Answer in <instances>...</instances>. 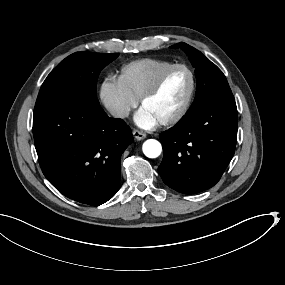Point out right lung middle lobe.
<instances>
[{"mask_svg": "<svg viewBox=\"0 0 285 285\" xmlns=\"http://www.w3.org/2000/svg\"><path fill=\"white\" fill-rule=\"evenodd\" d=\"M117 57L118 54L91 52H77L68 56L45 79L34 112L64 100L99 106L97 78L100 71Z\"/></svg>", "mask_w": 285, "mask_h": 285, "instance_id": "obj_1", "label": "right lung middle lobe"}]
</instances>
